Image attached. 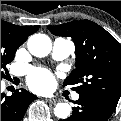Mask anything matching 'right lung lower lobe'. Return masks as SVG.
<instances>
[{"label": "right lung lower lobe", "instance_id": "1", "mask_svg": "<svg viewBox=\"0 0 121 121\" xmlns=\"http://www.w3.org/2000/svg\"><path fill=\"white\" fill-rule=\"evenodd\" d=\"M37 97L28 91L16 90L12 96L1 93V121H21L29 104Z\"/></svg>", "mask_w": 121, "mask_h": 121}]
</instances>
